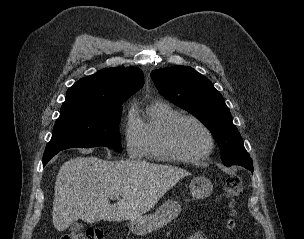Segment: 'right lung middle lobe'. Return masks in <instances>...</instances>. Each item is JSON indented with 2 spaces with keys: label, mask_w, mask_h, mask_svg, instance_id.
<instances>
[{
  "label": "right lung middle lobe",
  "mask_w": 304,
  "mask_h": 239,
  "mask_svg": "<svg viewBox=\"0 0 304 239\" xmlns=\"http://www.w3.org/2000/svg\"><path fill=\"white\" fill-rule=\"evenodd\" d=\"M122 106L61 112L45 152L105 146L121 152L118 133Z\"/></svg>",
  "instance_id": "dd1d6c3e"
}]
</instances>
